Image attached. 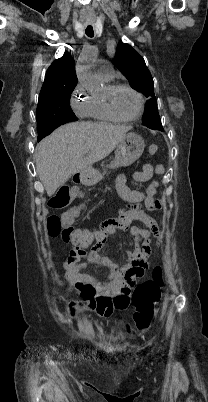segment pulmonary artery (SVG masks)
<instances>
[{
  "instance_id": "pulmonary-artery-1",
  "label": "pulmonary artery",
  "mask_w": 208,
  "mask_h": 402,
  "mask_svg": "<svg viewBox=\"0 0 208 402\" xmlns=\"http://www.w3.org/2000/svg\"><path fill=\"white\" fill-rule=\"evenodd\" d=\"M94 69L99 73V75L106 79L111 80L113 78V72L109 66V63L105 59H97L94 62Z\"/></svg>"
}]
</instances>
